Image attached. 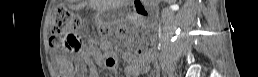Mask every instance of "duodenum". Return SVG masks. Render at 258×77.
I'll return each instance as SVG.
<instances>
[{"mask_svg": "<svg viewBox=\"0 0 258 77\" xmlns=\"http://www.w3.org/2000/svg\"><path fill=\"white\" fill-rule=\"evenodd\" d=\"M137 3H139V5H135L134 7V12L137 16L141 17L143 16V7H141L140 5L142 4L141 1H137Z\"/></svg>", "mask_w": 258, "mask_h": 77, "instance_id": "1", "label": "duodenum"}]
</instances>
